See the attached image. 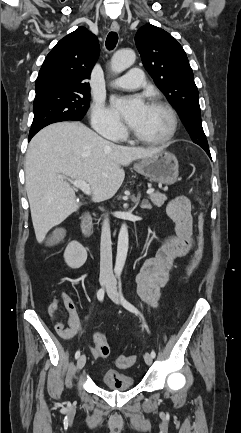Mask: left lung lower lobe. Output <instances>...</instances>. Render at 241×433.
I'll list each match as a JSON object with an SVG mask.
<instances>
[{
    "mask_svg": "<svg viewBox=\"0 0 241 433\" xmlns=\"http://www.w3.org/2000/svg\"><path fill=\"white\" fill-rule=\"evenodd\" d=\"M205 151H206V153L210 156V158H211V155H210V151H209V147L208 148H203Z\"/></svg>",
    "mask_w": 241,
    "mask_h": 433,
    "instance_id": "left-lung-lower-lobe-1",
    "label": "left lung lower lobe"
}]
</instances>
